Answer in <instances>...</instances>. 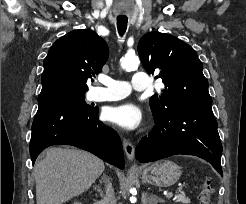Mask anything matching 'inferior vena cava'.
Wrapping results in <instances>:
<instances>
[{"instance_id": "602c4592", "label": "inferior vena cava", "mask_w": 246, "mask_h": 204, "mask_svg": "<svg viewBox=\"0 0 246 204\" xmlns=\"http://www.w3.org/2000/svg\"><path fill=\"white\" fill-rule=\"evenodd\" d=\"M108 184L106 186V195L103 198L102 204H116V198L112 184L107 180Z\"/></svg>"}]
</instances>
